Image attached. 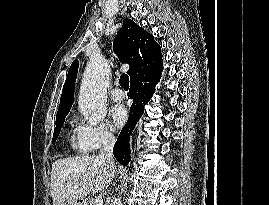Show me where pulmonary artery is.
Returning <instances> with one entry per match:
<instances>
[{
	"label": "pulmonary artery",
	"instance_id": "e3ab8cb5",
	"mask_svg": "<svg viewBox=\"0 0 269 205\" xmlns=\"http://www.w3.org/2000/svg\"><path fill=\"white\" fill-rule=\"evenodd\" d=\"M110 96L115 101H122L125 98V93L120 88H115L110 92Z\"/></svg>",
	"mask_w": 269,
	"mask_h": 205
}]
</instances>
